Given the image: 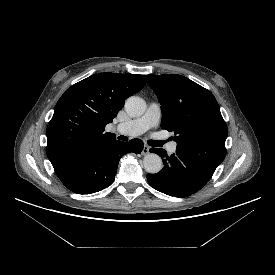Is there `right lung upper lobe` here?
Listing matches in <instances>:
<instances>
[{"label":"right lung upper lobe","mask_w":275,"mask_h":275,"mask_svg":"<svg viewBox=\"0 0 275 275\" xmlns=\"http://www.w3.org/2000/svg\"><path fill=\"white\" fill-rule=\"evenodd\" d=\"M147 76L99 73L72 85L57 102L47 126L46 153L52 164L116 141L105 126L125 100L140 91Z\"/></svg>","instance_id":"right-lung-upper-lobe-1"}]
</instances>
